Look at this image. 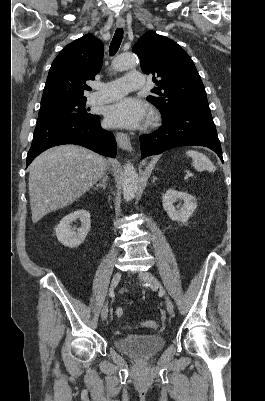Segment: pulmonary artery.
<instances>
[{
    "label": "pulmonary artery",
    "mask_w": 265,
    "mask_h": 401,
    "mask_svg": "<svg viewBox=\"0 0 265 401\" xmlns=\"http://www.w3.org/2000/svg\"><path fill=\"white\" fill-rule=\"evenodd\" d=\"M143 80L142 72H129L121 78H111L110 81L102 83L94 82V86H101L97 92V96H91V103H107L112 101H122L128 90H139L140 82ZM127 83L128 90L125 89Z\"/></svg>",
    "instance_id": "e3ab8cb5"
}]
</instances>
